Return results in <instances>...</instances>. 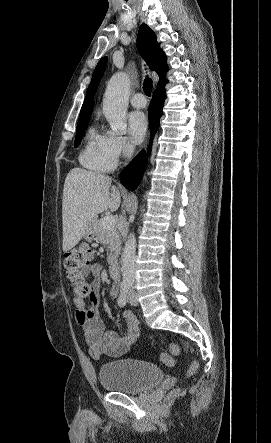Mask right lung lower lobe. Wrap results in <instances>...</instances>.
Returning a JSON list of instances; mask_svg holds the SVG:
<instances>
[{"label": "right lung lower lobe", "mask_w": 271, "mask_h": 443, "mask_svg": "<svg viewBox=\"0 0 271 443\" xmlns=\"http://www.w3.org/2000/svg\"><path fill=\"white\" fill-rule=\"evenodd\" d=\"M165 84H159L155 90L149 106V123L152 132H156L159 127V120L162 116V108L166 98L164 92ZM147 164V157L144 152L138 154L130 164L122 171L121 181L123 185L131 190H135L139 185Z\"/></svg>", "instance_id": "98d812e1"}]
</instances>
